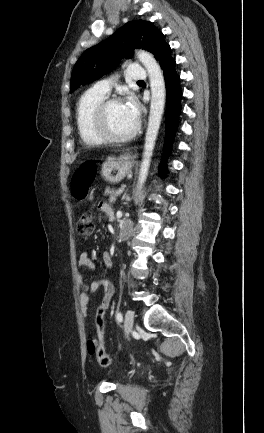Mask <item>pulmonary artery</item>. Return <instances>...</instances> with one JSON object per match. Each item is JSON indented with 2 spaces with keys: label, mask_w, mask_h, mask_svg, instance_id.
Wrapping results in <instances>:
<instances>
[{
  "label": "pulmonary artery",
  "mask_w": 264,
  "mask_h": 433,
  "mask_svg": "<svg viewBox=\"0 0 264 433\" xmlns=\"http://www.w3.org/2000/svg\"><path fill=\"white\" fill-rule=\"evenodd\" d=\"M128 78L133 80H144L147 77V71L143 67L130 65L126 71ZM112 87V82L109 79H104L96 82L93 89L101 94L108 95Z\"/></svg>",
  "instance_id": "pulmonary-artery-1"
}]
</instances>
